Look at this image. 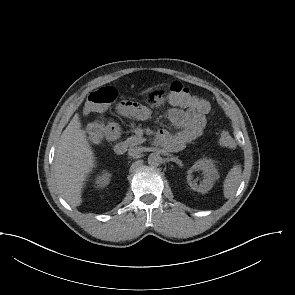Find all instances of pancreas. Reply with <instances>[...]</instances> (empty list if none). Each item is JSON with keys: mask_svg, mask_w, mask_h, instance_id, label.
<instances>
[{"mask_svg": "<svg viewBox=\"0 0 295 295\" xmlns=\"http://www.w3.org/2000/svg\"><path fill=\"white\" fill-rule=\"evenodd\" d=\"M145 141V138L143 137H138V136H131L130 138H128L125 143L129 146V147H133V146H137L141 143H143Z\"/></svg>", "mask_w": 295, "mask_h": 295, "instance_id": "obj_1", "label": "pancreas"}]
</instances>
